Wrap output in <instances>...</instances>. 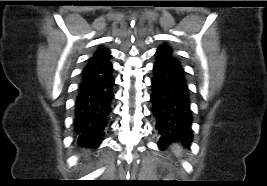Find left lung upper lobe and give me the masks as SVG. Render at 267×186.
Here are the masks:
<instances>
[{
    "instance_id": "1",
    "label": "left lung upper lobe",
    "mask_w": 267,
    "mask_h": 186,
    "mask_svg": "<svg viewBox=\"0 0 267 186\" xmlns=\"http://www.w3.org/2000/svg\"><path fill=\"white\" fill-rule=\"evenodd\" d=\"M157 53L162 54L167 59L180 64V62L174 57L172 49L168 46H160L157 50Z\"/></svg>"
}]
</instances>
